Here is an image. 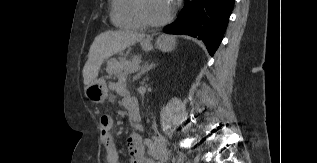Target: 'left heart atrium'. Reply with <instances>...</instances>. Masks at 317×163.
Segmentation results:
<instances>
[{
	"label": "left heart atrium",
	"mask_w": 317,
	"mask_h": 163,
	"mask_svg": "<svg viewBox=\"0 0 317 163\" xmlns=\"http://www.w3.org/2000/svg\"><path fill=\"white\" fill-rule=\"evenodd\" d=\"M171 4H173L174 0H168Z\"/></svg>",
	"instance_id": "1"
}]
</instances>
